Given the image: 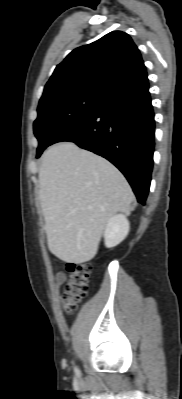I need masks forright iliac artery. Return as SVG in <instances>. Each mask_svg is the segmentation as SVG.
I'll return each instance as SVG.
<instances>
[{"label": "right iliac artery", "instance_id": "1", "mask_svg": "<svg viewBox=\"0 0 182 399\" xmlns=\"http://www.w3.org/2000/svg\"><path fill=\"white\" fill-rule=\"evenodd\" d=\"M74 371H75L76 373H78V369H77L76 367L74 368Z\"/></svg>", "mask_w": 182, "mask_h": 399}]
</instances>
